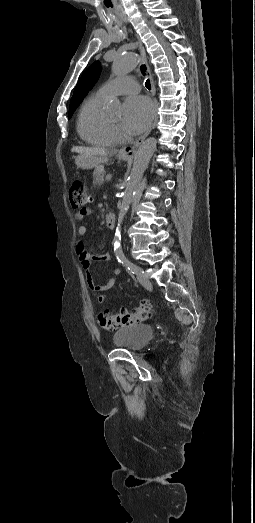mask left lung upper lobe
<instances>
[{
	"label": "left lung upper lobe",
	"instance_id": "5c2ea615",
	"mask_svg": "<svg viewBox=\"0 0 255 523\" xmlns=\"http://www.w3.org/2000/svg\"><path fill=\"white\" fill-rule=\"evenodd\" d=\"M100 72V62L96 61L83 73L75 87L70 101L68 119L71 118L72 114L87 95L89 90L93 88L99 78Z\"/></svg>",
	"mask_w": 255,
	"mask_h": 523
}]
</instances>
